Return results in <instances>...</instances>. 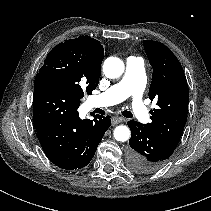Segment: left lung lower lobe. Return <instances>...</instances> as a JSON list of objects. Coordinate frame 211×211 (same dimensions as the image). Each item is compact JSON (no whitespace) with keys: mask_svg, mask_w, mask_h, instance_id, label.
<instances>
[{"mask_svg":"<svg viewBox=\"0 0 211 211\" xmlns=\"http://www.w3.org/2000/svg\"><path fill=\"white\" fill-rule=\"evenodd\" d=\"M131 138L128 148V164L131 170L141 174L161 169L176 148L150 131L145 124L128 121Z\"/></svg>","mask_w":211,"mask_h":211,"instance_id":"left-lung-lower-lobe-1","label":"left lung lower lobe"}]
</instances>
